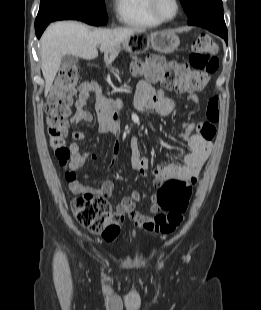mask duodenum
<instances>
[{
	"mask_svg": "<svg viewBox=\"0 0 261 310\" xmlns=\"http://www.w3.org/2000/svg\"><path fill=\"white\" fill-rule=\"evenodd\" d=\"M113 119H117V114H114V115H113Z\"/></svg>",
	"mask_w": 261,
	"mask_h": 310,
	"instance_id": "1",
	"label": "duodenum"
}]
</instances>
